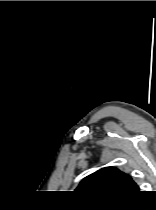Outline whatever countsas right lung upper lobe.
Wrapping results in <instances>:
<instances>
[{
    "instance_id": "right-lung-upper-lobe-1",
    "label": "right lung upper lobe",
    "mask_w": 156,
    "mask_h": 210,
    "mask_svg": "<svg viewBox=\"0 0 156 210\" xmlns=\"http://www.w3.org/2000/svg\"><path fill=\"white\" fill-rule=\"evenodd\" d=\"M76 191L91 197H129L139 192L138 185L116 167H105L85 177Z\"/></svg>"
}]
</instances>
